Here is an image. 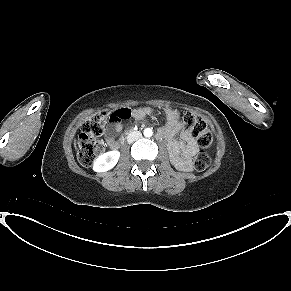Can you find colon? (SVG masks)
Wrapping results in <instances>:
<instances>
[{
  "label": "colon",
  "instance_id": "1",
  "mask_svg": "<svg viewBox=\"0 0 291 291\" xmlns=\"http://www.w3.org/2000/svg\"><path fill=\"white\" fill-rule=\"evenodd\" d=\"M178 114L184 127L196 137L199 146L202 149L210 148L213 144V136L208 130L206 123L189 111H180ZM130 117L131 110L129 108H122L112 113H97L84 123L78 140L79 162L83 166L88 167L104 151L105 146L98 137L105 132L108 122L126 120ZM209 164L210 157L204 150H201L193 161V167L197 171L205 170Z\"/></svg>",
  "mask_w": 291,
  "mask_h": 291
}]
</instances>
